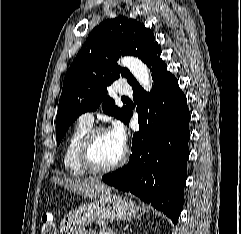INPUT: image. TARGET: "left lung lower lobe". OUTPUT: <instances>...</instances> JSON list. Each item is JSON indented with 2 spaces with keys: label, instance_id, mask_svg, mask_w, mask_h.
<instances>
[{
  "label": "left lung lower lobe",
  "instance_id": "obj_1",
  "mask_svg": "<svg viewBox=\"0 0 241 234\" xmlns=\"http://www.w3.org/2000/svg\"><path fill=\"white\" fill-rule=\"evenodd\" d=\"M160 55L161 49L147 62L154 80L150 93L136 80L130 84L139 114V132L133 136L130 161L102 180L137 195L176 224L184 203L190 112L178 80L167 71ZM131 116L130 111L125 124Z\"/></svg>",
  "mask_w": 241,
  "mask_h": 234
}]
</instances>
